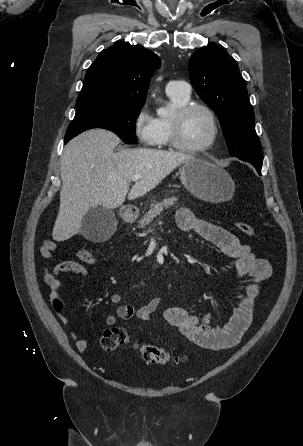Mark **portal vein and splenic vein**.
Segmentation results:
<instances>
[{"label": "portal vein and splenic vein", "mask_w": 303, "mask_h": 446, "mask_svg": "<svg viewBox=\"0 0 303 446\" xmlns=\"http://www.w3.org/2000/svg\"><path fill=\"white\" fill-rule=\"evenodd\" d=\"M142 178V176L141 175H133L132 177H131V180L132 181H137V180H139V179H141Z\"/></svg>", "instance_id": "portal-vein-and-splenic-vein-1"}]
</instances>
